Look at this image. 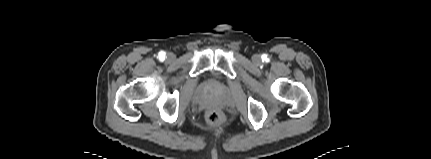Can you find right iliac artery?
Segmentation results:
<instances>
[{"instance_id":"82829eb1","label":"right iliac artery","mask_w":431,"mask_h":159,"mask_svg":"<svg viewBox=\"0 0 431 159\" xmlns=\"http://www.w3.org/2000/svg\"><path fill=\"white\" fill-rule=\"evenodd\" d=\"M159 58H160V59H164V58H165V52H163V51H162V52H160V53H159Z\"/></svg>"}]
</instances>
